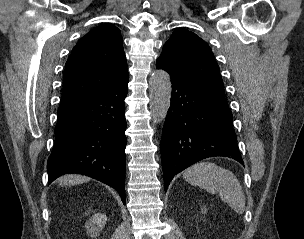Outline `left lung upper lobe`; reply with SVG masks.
Returning a JSON list of instances; mask_svg holds the SVG:
<instances>
[{
	"label": "left lung upper lobe",
	"mask_w": 304,
	"mask_h": 239,
	"mask_svg": "<svg viewBox=\"0 0 304 239\" xmlns=\"http://www.w3.org/2000/svg\"><path fill=\"white\" fill-rule=\"evenodd\" d=\"M157 62L190 83L225 97L214 55L207 43L193 32L175 30Z\"/></svg>",
	"instance_id": "1"
}]
</instances>
